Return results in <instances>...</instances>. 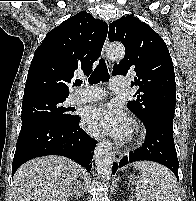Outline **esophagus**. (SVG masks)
Returning a JSON list of instances; mask_svg holds the SVG:
<instances>
[{
  "instance_id": "esophagus-1",
  "label": "esophagus",
  "mask_w": 196,
  "mask_h": 201,
  "mask_svg": "<svg viewBox=\"0 0 196 201\" xmlns=\"http://www.w3.org/2000/svg\"><path fill=\"white\" fill-rule=\"evenodd\" d=\"M107 46H108V39L106 38L103 49H102V56L107 64V66H111V60L107 55ZM123 157V153L120 150H114L113 151V158L116 161H119Z\"/></svg>"
}]
</instances>
